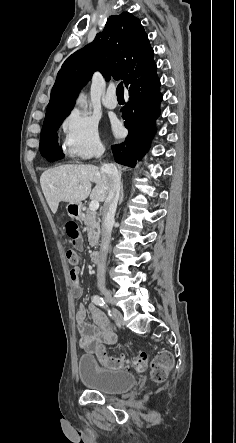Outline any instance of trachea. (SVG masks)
I'll return each mask as SVG.
<instances>
[{"label": "trachea", "instance_id": "1", "mask_svg": "<svg viewBox=\"0 0 236 443\" xmlns=\"http://www.w3.org/2000/svg\"><path fill=\"white\" fill-rule=\"evenodd\" d=\"M116 94H117L118 97H123L124 96V87H123V83L122 82H120L118 84L117 89H116Z\"/></svg>", "mask_w": 236, "mask_h": 443}]
</instances>
